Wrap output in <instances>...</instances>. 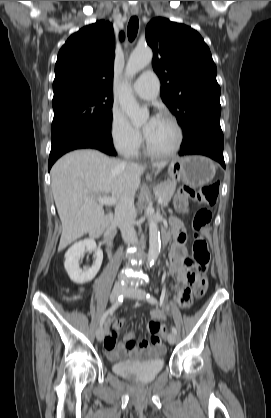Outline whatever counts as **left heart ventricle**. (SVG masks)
<instances>
[{"label": "left heart ventricle", "instance_id": "obj_1", "mask_svg": "<svg viewBox=\"0 0 271 418\" xmlns=\"http://www.w3.org/2000/svg\"><path fill=\"white\" fill-rule=\"evenodd\" d=\"M148 122H144V129L147 127ZM146 137L153 149L167 151L175 145L177 134L174 126L168 120L159 117L154 126L146 134Z\"/></svg>", "mask_w": 271, "mask_h": 418}]
</instances>
